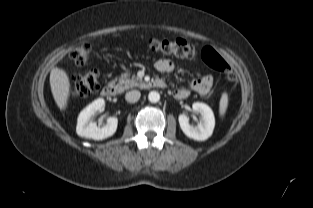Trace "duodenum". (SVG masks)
<instances>
[{"mask_svg": "<svg viewBox=\"0 0 313 208\" xmlns=\"http://www.w3.org/2000/svg\"><path fill=\"white\" fill-rule=\"evenodd\" d=\"M140 86L143 89H150V88L161 89L165 87V82L161 79H155L151 81H143ZM101 93L104 97H114L118 93V87L114 83H108L103 86Z\"/></svg>", "mask_w": 313, "mask_h": 208, "instance_id": "410a0bca", "label": "duodenum"}]
</instances>
